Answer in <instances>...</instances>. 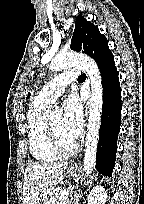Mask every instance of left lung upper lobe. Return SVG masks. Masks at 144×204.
<instances>
[{
    "label": "left lung upper lobe",
    "mask_w": 144,
    "mask_h": 204,
    "mask_svg": "<svg viewBox=\"0 0 144 204\" xmlns=\"http://www.w3.org/2000/svg\"><path fill=\"white\" fill-rule=\"evenodd\" d=\"M71 49L88 54L98 66L109 57H113L108 47V40L99 32L97 26L87 21L82 15L76 18ZM30 94H28V97Z\"/></svg>",
    "instance_id": "left-lung-upper-lobe-1"
}]
</instances>
